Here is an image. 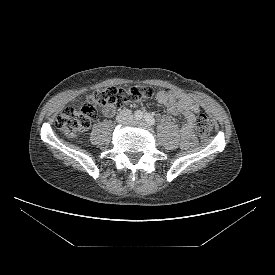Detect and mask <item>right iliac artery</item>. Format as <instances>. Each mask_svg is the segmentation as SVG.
<instances>
[{"label":"right iliac artery","mask_w":275,"mask_h":275,"mask_svg":"<svg viewBox=\"0 0 275 275\" xmlns=\"http://www.w3.org/2000/svg\"><path fill=\"white\" fill-rule=\"evenodd\" d=\"M135 118H136L137 120L143 119V118H144L143 113H142L141 111H137V112L135 113Z\"/></svg>","instance_id":"1"}]
</instances>
